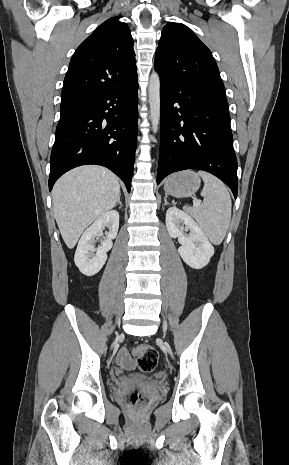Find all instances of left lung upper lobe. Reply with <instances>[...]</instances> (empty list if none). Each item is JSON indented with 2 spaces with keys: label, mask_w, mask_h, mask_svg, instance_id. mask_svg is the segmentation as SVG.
<instances>
[{
  "label": "left lung upper lobe",
  "mask_w": 289,
  "mask_h": 465,
  "mask_svg": "<svg viewBox=\"0 0 289 465\" xmlns=\"http://www.w3.org/2000/svg\"><path fill=\"white\" fill-rule=\"evenodd\" d=\"M154 67L161 79L225 95L224 84L210 50L181 23H168L163 28Z\"/></svg>",
  "instance_id": "1"
}]
</instances>
